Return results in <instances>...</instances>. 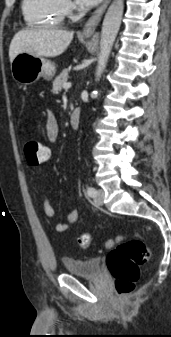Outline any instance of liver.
<instances>
[{
	"label": "liver",
	"mask_w": 171,
	"mask_h": 337,
	"mask_svg": "<svg viewBox=\"0 0 171 337\" xmlns=\"http://www.w3.org/2000/svg\"><path fill=\"white\" fill-rule=\"evenodd\" d=\"M72 31L59 29H24L13 37L9 47L10 62L22 52L41 57L61 55L73 39Z\"/></svg>",
	"instance_id": "6515ba94"
}]
</instances>
